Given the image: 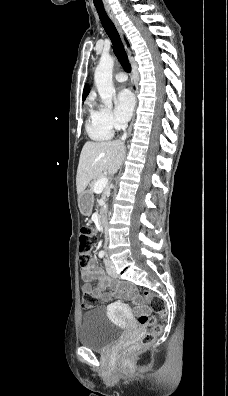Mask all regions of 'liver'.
<instances>
[{"mask_svg":"<svg viewBox=\"0 0 228 396\" xmlns=\"http://www.w3.org/2000/svg\"><path fill=\"white\" fill-rule=\"evenodd\" d=\"M125 156V146L120 140L87 141L81 151L76 176L77 194L80 195L91 180L103 171L114 175Z\"/></svg>","mask_w":228,"mask_h":396,"instance_id":"obj_1","label":"liver"}]
</instances>
